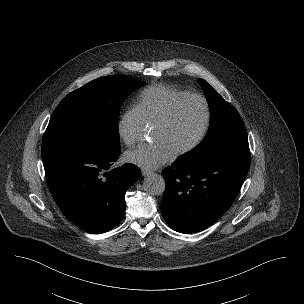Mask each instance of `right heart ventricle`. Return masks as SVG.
Segmentation results:
<instances>
[{"label": "right heart ventricle", "mask_w": 304, "mask_h": 304, "mask_svg": "<svg viewBox=\"0 0 304 304\" xmlns=\"http://www.w3.org/2000/svg\"><path fill=\"white\" fill-rule=\"evenodd\" d=\"M186 91L165 84H156L140 92L135 106L140 111L145 125L154 126L169 106Z\"/></svg>", "instance_id": "1"}]
</instances>
